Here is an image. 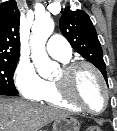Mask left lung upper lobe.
I'll use <instances>...</instances> for the list:
<instances>
[{"label":"left lung upper lobe","mask_w":117,"mask_h":131,"mask_svg":"<svg viewBox=\"0 0 117 131\" xmlns=\"http://www.w3.org/2000/svg\"><path fill=\"white\" fill-rule=\"evenodd\" d=\"M59 25L62 34L70 42L73 49L94 64L107 81L102 48L87 13L82 10L74 11L67 7L62 13Z\"/></svg>","instance_id":"1"}]
</instances>
